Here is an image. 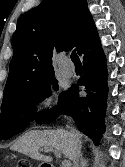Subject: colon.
Segmentation results:
<instances>
[{"label":"colon","mask_w":125,"mask_h":167,"mask_svg":"<svg viewBox=\"0 0 125 167\" xmlns=\"http://www.w3.org/2000/svg\"><path fill=\"white\" fill-rule=\"evenodd\" d=\"M16 167H32V165L30 161L22 159L17 162Z\"/></svg>","instance_id":"1"}]
</instances>
